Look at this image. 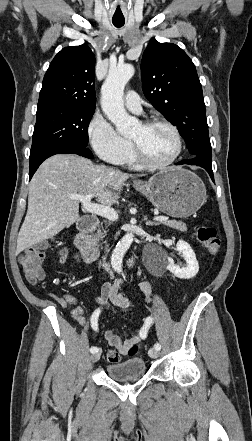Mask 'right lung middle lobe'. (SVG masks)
<instances>
[{
	"instance_id": "1",
	"label": "right lung middle lobe",
	"mask_w": 252,
	"mask_h": 441,
	"mask_svg": "<svg viewBox=\"0 0 252 441\" xmlns=\"http://www.w3.org/2000/svg\"><path fill=\"white\" fill-rule=\"evenodd\" d=\"M94 108L51 105L37 108L30 156L64 144H88V125Z\"/></svg>"
}]
</instances>
